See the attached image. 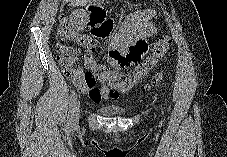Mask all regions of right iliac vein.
<instances>
[{
    "label": "right iliac vein",
    "mask_w": 227,
    "mask_h": 157,
    "mask_svg": "<svg viewBox=\"0 0 227 157\" xmlns=\"http://www.w3.org/2000/svg\"><path fill=\"white\" fill-rule=\"evenodd\" d=\"M73 108H74V113H73V120H72V122L73 123H76L79 120V111H80V104H79L78 101L75 102Z\"/></svg>",
    "instance_id": "obj_1"
}]
</instances>
